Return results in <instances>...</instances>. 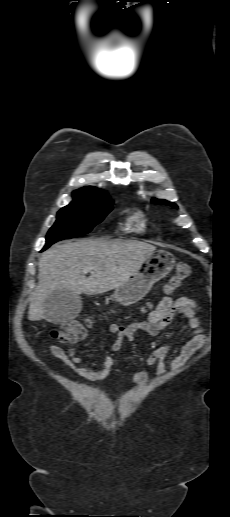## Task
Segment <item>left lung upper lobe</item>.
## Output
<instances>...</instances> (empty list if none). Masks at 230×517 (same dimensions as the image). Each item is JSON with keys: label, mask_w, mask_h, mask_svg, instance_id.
<instances>
[{"label": "left lung upper lobe", "mask_w": 230, "mask_h": 517, "mask_svg": "<svg viewBox=\"0 0 230 517\" xmlns=\"http://www.w3.org/2000/svg\"><path fill=\"white\" fill-rule=\"evenodd\" d=\"M152 203H155V204H167V205H170L172 207H175L177 208V205L172 203V202H168V201H165V200H160V199H153L152 200Z\"/></svg>", "instance_id": "5c2ea615"}]
</instances>
